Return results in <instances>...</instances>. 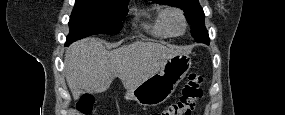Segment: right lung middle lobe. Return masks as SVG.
I'll use <instances>...</instances> for the list:
<instances>
[{"label":"right lung middle lobe","instance_id":"1","mask_svg":"<svg viewBox=\"0 0 285 115\" xmlns=\"http://www.w3.org/2000/svg\"><path fill=\"white\" fill-rule=\"evenodd\" d=\"M128 1L76 0L70 17L66 45L94 34H115L127 15Z\"/></svg>","mask_w":285,"mask_h":115}]
</instances>
